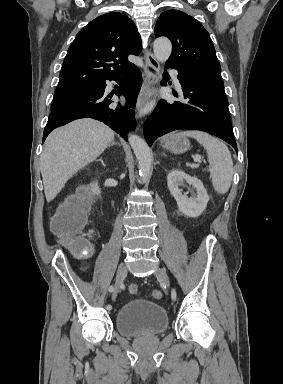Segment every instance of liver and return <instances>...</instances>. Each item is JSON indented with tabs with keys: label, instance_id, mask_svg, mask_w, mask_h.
Here are the masks:
<instances>
[{
	"label": "liver",
	"instance_id": "1",
	"mask_svg": "<svg viewBox=\"0 0 283 384\" xmlns=\"http://www.w3.org/2000/svg\"><path fill=\"white\" fill-rule=\"evenodd\" d=\"M113 140V130L90 118L75 120L51 132L40 158L47 202H52L66 182L96 160Z\"/></svg>",
	"mask_w": 283,
	"mask_h": 384
}]
</instances>
